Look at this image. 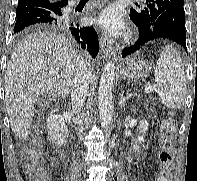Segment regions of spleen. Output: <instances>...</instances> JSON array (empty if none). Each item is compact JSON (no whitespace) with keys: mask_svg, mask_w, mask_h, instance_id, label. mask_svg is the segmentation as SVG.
I'll return each mask as SVG.
<instances>
[{"mask_svg":"<svg viewBox=\"0 0 197 181\" xmlns=\"http://www.w3.org/2000/svg\"><path fill=\"white\" fill-rule=\"evenodd\" d=\"M154 75L162 104L170 109H180L186 101V79L181 57L172 45L162 49Z\"/></svg>","mask_w":197,"mask_h":181,"instance_id":"obj_1","label":"spleen"}]
</instances>
